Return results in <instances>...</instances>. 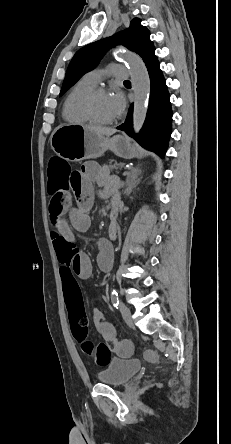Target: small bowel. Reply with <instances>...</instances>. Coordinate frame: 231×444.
Wrapping results in <instances>:
<instances>
[{"mask_svg": "<svg viewBox=\"0 0 231 444\" xmlns=\"http://www.w3.org/2000/svg\"><path fill=\"white\" fill-rule=\"evenodd\" d=\"M98 187V193L106 198L117 189V181L108 171L95 163H86L78 171L77 178L71 184L69 190L63 191L60 205L50 209V221L52 225V240L57 253L65 296H80V288L76 277L87 279L91 276L92 265L89 257L80 250L75 242L73 232L86 231L91 224L89 209L93 200L94 187ZM113 204H117L115 198ZM68 215V217H67ZM116 227H109V239L102 238L98 241L99 253L97 263L101 270L110 271L114 251L111 240L115 237ZM92 319L97 332L106 340H116V332L103 313L98 309L92 310Z\"/></svg>", "mask_w": 231, "mask_h": 444, "instance_id": "small-bowel-1", "label": "small bowel"}]
</instances>
